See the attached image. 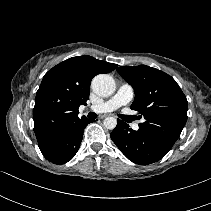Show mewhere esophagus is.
<instances>
[{
	"mask_svg": "<svg viewBox=\"0 0 211 211\" xmlns=\"http://www.w3.org/2000/svg\"><path fill=\"white\" fill-rule=\"evenodd\" d=\"M106 117H108V115H102V116H101V119H104V118H106Z\"/></svg>",
	"mask_w": 211,
	"mask_h": 211,
	"instance_id": "esophagus-1",
	"label": "esophagus"
}]
</instances>
